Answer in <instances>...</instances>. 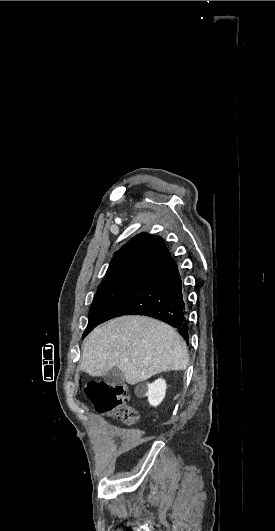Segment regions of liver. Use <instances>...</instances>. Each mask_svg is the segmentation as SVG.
I'll use <instances>...</instances> for the list:
<instances>
[{"instance_id":"obj_1","label":"liver","mask_w":275,"mask_h":531,"mask_svg":"<svg viewBox=\"0 0 275 531\" xmlns=\"http://www.w3.org/2000/svg\"><path fill=\"white\" fill-rule=\"evenodd\" d=\"M189 355L179 333L149 317H118L88 335L81 371L104 377L118 367L128 385L147 381L162 371H185Z\"/></svg>"}]
</instances>
